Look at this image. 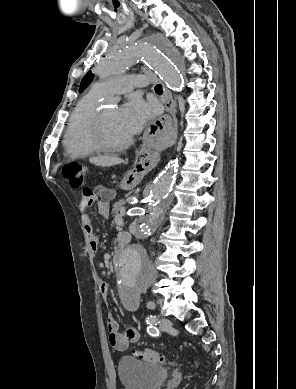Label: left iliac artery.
Wrapping results in <instances>:
<instances>
[{
  "label": "left iliac artery",
  "instance_id": "left-iliac-artery-1",
  "mask_svg": "<svg viewBox=\"0 0 296 389\" xmlns=\"http://www.w3.org/2000/svg\"><path fill=\"white\" fill-rule=\"evenodd\" d=\"M146 322L149 325L147 328V332L152 336H157L158 330L155 325H157L158 319L155 316L150 315L149 317H147Z\"/></svg>",
  "mask_w": 296,
  "mask_h": 389
}]
</instances>
